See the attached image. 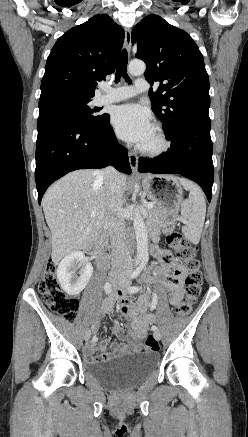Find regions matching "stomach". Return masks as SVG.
<instances>
[{"mask_svg":"<svg viewBox=\"0 0 248 437\" xmlns=\"http://www.w3.org/2000/svg\"><path fill=\"white\" fill-rule=\"evenodd\" d=\"M142 186L148 198L166 213L161 225L162 230L171 231L183 201L182 190L178 187L177 179L169 175L148 174L142 178Z\"/></svg>","mask_w":248,"mask_h":437,"instance_id":"0dacf381","label":"stomach"}]
</instances>
